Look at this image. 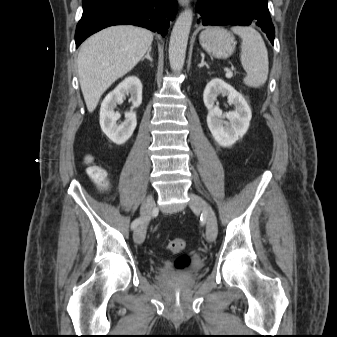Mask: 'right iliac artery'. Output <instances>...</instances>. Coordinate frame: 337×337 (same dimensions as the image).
<instances>
[{"instance_id": "right-iliac-artery-1", "label": "right iliac artery", "mask_w": 337, "mask_h": 337, "mask_svg": "<svg viewBox=\"0 0 337 337\" xmlns=\"http://www.w3.org/2000/svg\"><path fill=\"white\" fill-rule=\"evenodd\" d=\"M141 221H142L141 218L135 219L131 224V229L134 230L141 223Z\"/></svg>"}]
</instances>
